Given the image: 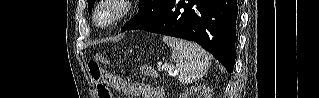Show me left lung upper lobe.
Returning <instances> with one entry per match:
<instances>
[{
  "label": "left lung upper lobe",
  "mask_w": 319,
  "mask_h": 98,
  "mask_svg": "<svg viewBox=\"0 0 319 98\" xmlns=\"http://www.w3.org/2000/svg\"><path fill=\"white\" fill-rule=\"evenodd\" d=\"M165 0H140L138 14L128 21L122 29L134 30L153 21L161 12ZM95 0H88V10L92 11Z\"/></svg>",
  "instance_id": "obj_1"
}]
</instances>
